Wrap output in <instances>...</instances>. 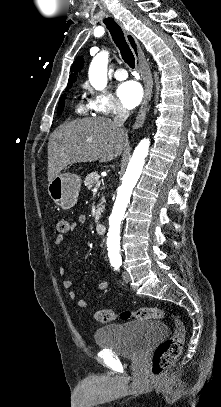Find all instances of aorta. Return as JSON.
<instances>
[{
	"mask_svg": "<svg viewBox=\"0 0 221 407\" xmlns=\"http://www.w3.org/2000/svg\"><path fill=\"white\" fill-rule=\"evenodd\" d=\"M109 54L106 51L95 56L89 67V81L91 85L102 90L107 85V67ZM150 146L149 139H143L132 155L127 170L123 176L122 184L118 188L117 197L109 217V230L107 233V249L111 262L120 261V226L123 220L126 208L130 201L133 188L138 182L148 155Z\"/></svg>",
	"mask_w": 221,
	"mask_h": 407,
	"instance_id": "762f6f07",
	"label": "aorta"
}]
</instances>
